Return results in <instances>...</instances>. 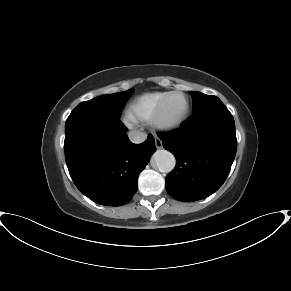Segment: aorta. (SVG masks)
<instances>
[{
    "label": "aorta",
    "mask_w": 291,
    "mask_h": 291,
    "mask_svg": "<svg viewBox=\"0 0 291 291\" xmlns=\"http://www.w3.org/2000/svg\"><path fill=\"white\" fill-rule=\"evenodd\" d=\"M153 160L158 170L163 173L171 172L176 164L174 155L165 149L157 150L153 154Z\"/></svg>",
    "instance_id": "1"
}]
</instances>
